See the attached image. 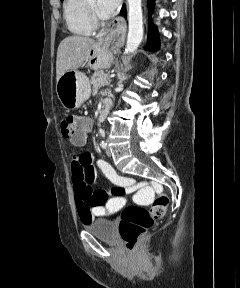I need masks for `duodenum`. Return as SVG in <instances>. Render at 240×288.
Returning <instances> with one entry per match:
<instances>
[{"instance_id": "1", "label": "duodenum", "mask_w": 240, "mask_h": 288, "mask_svg": "<svg viewBox=\"0 0 240 288\" xmlns=\"http://www.w3.org/2000/svg\"><path fill=\"white\" fill-rule=\"evenodd\" d=\"M111 104H112L111 100H106V101L104 102L102 108L100 109V111H99V113H98V118H99L100 120H102V119L105 118V116L107 115V113H108V111H109V109H110V107H111Z\"/></svg>"}]
</instances>
